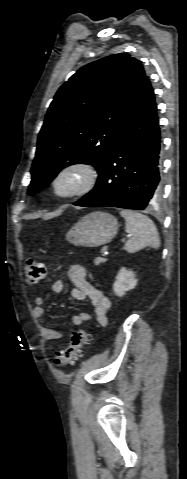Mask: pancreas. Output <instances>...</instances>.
Wrapping results in <instances>:
<instances>
[{
	"label": "pancreas",
	"instance_id": "1",
	"mask_svg": "<svg viewBox=\"0 0 187 479\" xmlns=\"http://www.w3.org/2000/svg\"><path fill=\"white\" fill-rule=\"evenodd\" d=\"M106 261H107V259H105V258L97 257V258H95V260H94V264H95V265H99V264H101V263H105Z\"/></svg>",
	"mask_w": 187,
	"mask_h": 479
}]
</instances>
